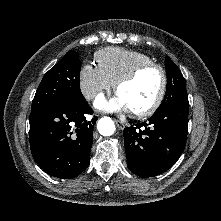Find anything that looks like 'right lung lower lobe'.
<instances>
[{
  "instance_id": "obj_1",
  "label": "right lung lower lobe",
  "mask_w": 221,
  "mask_h": 221,
  "mask_svg": "<svg viewBox=\"0 0 221 221\" xmlns=\"http://www.w3.org/2000/svg\"><path fill=\"white\" fill-rule=\"evenodd\" d=\"M92 113L86 100L62 101L30 118L31 153L46 173L71 179L86 169L98 118L86 121L85 115Z\"/></svg>"
}]
</instances>
